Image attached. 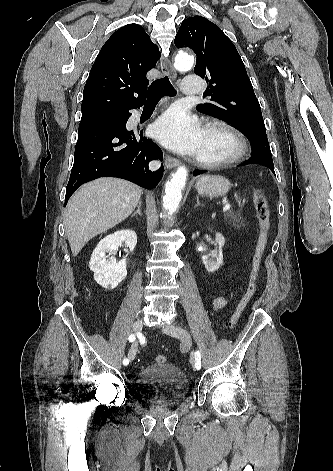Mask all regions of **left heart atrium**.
I'll return each instance as SVG.
<instances>
[{"label":"left heart atrium","instance_id":"obj_1","mask_svg":"<svg viewBox=\"0 0 333 471\" xmlns=\"http://www.w3.org/2000/svg\"><path fill=\"white\" fill-rule=\"evenodd\" d=\"M155 137L168 148L183 154H197L203 129L199 121L187 111L173 108L155 123Z\"/></svg>","mask_w":333,"mask_h":471}]
</instances>
